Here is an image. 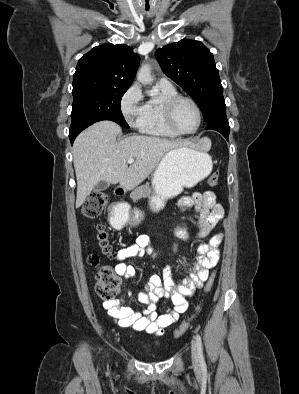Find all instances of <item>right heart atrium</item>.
I'll return each instance as SVG.
<instances>
[{"instance_id":"d8ad5b80","label":"right heart atrium","mask_w":299,"mask_h":394,"mask_svg":"<svg viewBox=\"0 0 299 394\" xmlns=\"http://www.w3.org/2000/svg\"><path fill=\"white\" fill-rule=\"evenodd\" d=\"M144 107L141 88L135 83L129 87L121 100V111L130 127L140 128Z\"/></svg>"}]
</instances>
